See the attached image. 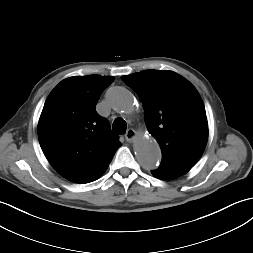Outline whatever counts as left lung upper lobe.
<instances>
[{
	"label": "left lung upper lobe",
	"mask_w": 253,
	"mask_h": 253,
	"mask_svg": "<svg viewBox=\"0 0 253 253\" xmlns=\"http://www.w3.org/2000/svg\"><path fill=\"white\" fill-rule=\"evenodd\" d=\"M121 78L143 103L147 129L161 148V164L193 167L208 139L205 107L196 88L169 70H145Z\"/></svg>",
	"instance_id": "1"
}]
</instances>
